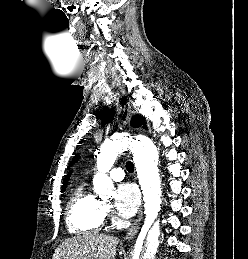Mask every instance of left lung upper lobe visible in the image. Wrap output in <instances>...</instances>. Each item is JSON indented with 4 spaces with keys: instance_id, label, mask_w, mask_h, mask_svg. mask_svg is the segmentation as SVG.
<instances>
[{
    "instance_id": "5c2ea615",
    "label": "left lung upper lobe",
    "mask_w": 248,
    "mask_h": 259,
    "mask_svg": "<svg viewBox=\"0 0 248 259\" xmlns=\"http://www.w3.org/2000/svg\"><path fill=\"white\" fill-rule=\"evenodd\" d=\"M132 125L134 127H139L142 124H145V119L141 115H136L132 119ZM146 128V126H144Z\"/></svg>"
}]
</instances>
